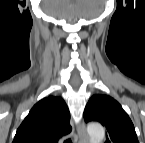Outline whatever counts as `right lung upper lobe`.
<instances>
[{"label": "right lung upper lobe", "instance_id": "obj_1", "mask_svg": "<svg viewBox=\"0 0 145 143\" xmlns=\"http://www.w3.org/2000/svg\"><path fill=\"white\" fill-rule=\"evenodd\" d=\"M69 119L68 107L61 97H46L30 110L13 143H57L71 131Z\"/></svg>", "mask_w": 145, "mask_h": 143}]
</instances>
